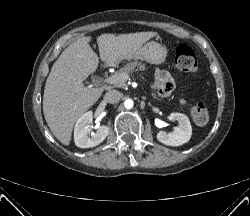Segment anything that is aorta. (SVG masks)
Instances as JSON below:
<instances>
[{
    "label": "aorta",
    "mask_w": 250,
    "mask_h": 216,
    "mask_svg": "<svg viewBox=\"0 0 250 216\" xmlns=\"http://www.w3.org/2000/svg\"><path fill=\"white\" fill-rule=\"evenodd\" d=\"M133 104H134L133 100H131V99H126L124 101V106L126 109H131L133 107Z\"/></svg>",
    "instance_id": "obj_1"
}]
</instances>
